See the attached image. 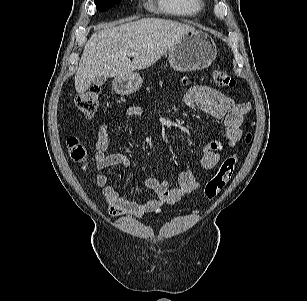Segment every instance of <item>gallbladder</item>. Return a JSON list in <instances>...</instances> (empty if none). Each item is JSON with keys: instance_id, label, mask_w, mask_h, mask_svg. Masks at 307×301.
Wrapping results in <instances>:
<instances>
[{"instance_id": "bac80fb5", "label": "gallbladder", "mask_w": 307, "mask_h": 301, "mask_svg": "<svg viewBox=\"0 0 307 301\" xmlns=\"http://www.w3.org/2000/svg\"><path fill=\"white\" fill-rule=\"evenodd\" d=\"M106 82V77L104 76H97L93 83L96 85V86H102L103 84H105Z\"/></svg>"}]
</instances>
